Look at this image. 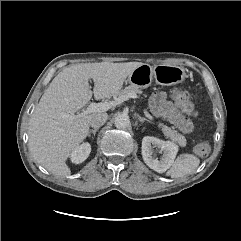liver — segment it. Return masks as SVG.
<instances>
[{
    "label": "liver",
    "mask_w": 241,
    "mask_h": 241,
    "mask_svg": "<svg viewBox=\"0 0 241 241\" xmlns=\"http://www.w3.org/2000/svg\"><path fill=\"white\" fill-rule=\"evenodd\" d=\"M142 62L81 63L63 69L50 83L29 121V150L37 163L59 177L70 175L66 164L89 132L93 114L63 117L96 100L120 95L126 78ZM94 81L93 91L88 83Z\"/></svg>",
    "instance_id": "6515ba94"
}]
</instances>
